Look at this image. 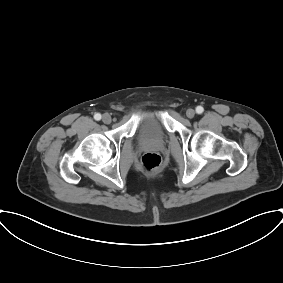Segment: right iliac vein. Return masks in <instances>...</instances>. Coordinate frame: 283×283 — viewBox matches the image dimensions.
Returning <instances> with one entry per match:
<instances>
[{"label": "right iliac vein", "instance_id": "obj_1", "mask_svg": "<svg viewBox=\"0 0 283 283\" xmlns=\"http://www.w3.org/2000/svg\"><path fill=\"white\" fill-rule=\"evenodd\" d=\"M112 118L111 116L108 114V113H105L103 116H102V121L105 123V124H109L111 122Z\"/></svg>", "mask_w": 283, "mask_h": 283}]
</instances>
